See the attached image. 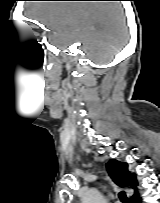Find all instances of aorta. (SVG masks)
Returning a JSON list of instances; mask_svg holds the SVG:
<instances>
[{"instance_id":"aorta-1","label":"aorta","mask_w":160,"mask_h":203,"mask_svg":"<svg viewBox=\"0 0 160 203\" xmlns=\"http://www.w3.org/2000/svg\"><path fill=\"white\" fill-rule=\"evenodd\" d=\"M82 203H106L103 195L97 189H89L82 195Z\"/></svg>"}]
</instances>
